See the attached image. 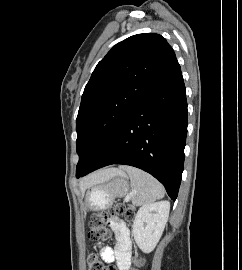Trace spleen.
Returning <instances> with one entry per match:
<instances>
[{"label": "spleen", "instance_id": "obj_1", "mask_svg": "<svg viewBox=\"0 0 242 270\" xmlns=\"http://www.w3.org/2000/svg\"><path fill=\"white\" fill-rule=\"evenodd\" d=\"M129 178L133 189L132 202L136 206L146 205L164 197L165 191L161 183L148 173L135 168L123 167Z\"/></svg>", "mask_w": 242, "mask_h": 270}]
</instances>
